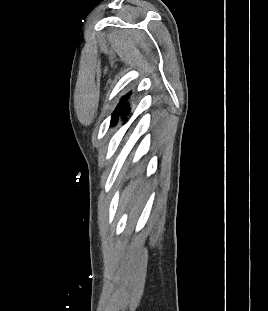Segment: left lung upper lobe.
<instances>
[{
	"label": "left lung upper lobe",
	"instance_id": "1",
	"mask_svg": "<svg viewBox=\"0 0 268 311\" xmlns=\"http://www.w3.org/2000/svg\"><path fill=\"white\" fill-rule=\"evenodd\" d=\"M131 93L126 94L125 96H123L119 102V104L117 105L115 111L112 114L111 117V126L115 125L118 122V118L123 110V108L126 105V102L128 100V98L130 97Z\"/></svg>",
	"mask_w": 268,
	"mask_h": 311
}]
</instances>
